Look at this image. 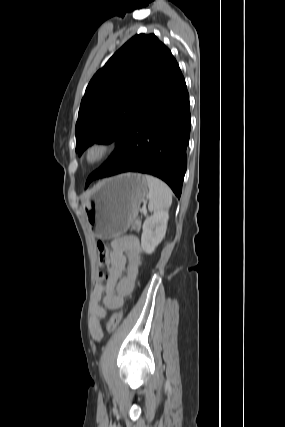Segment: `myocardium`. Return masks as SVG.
I'll return each instance as SVG.
<instances>
[{
    "mask_svg": "<svg viewBox=\"0 0 285 427\" xmlns=\"http://www.w3.org/2000/svg\"><path fill=\"white\" fill-rule=\"evenodd\" d=\"M113 150V144L108 141H94L83 150L80 158L81 163L88 168L98 166L112 155Z\"/></svg>",
    "mask_w": 285,
    "mask_h": 427,
    "instance_id": "obj_1",
    "label": "myocardium"
}]
</instances>
